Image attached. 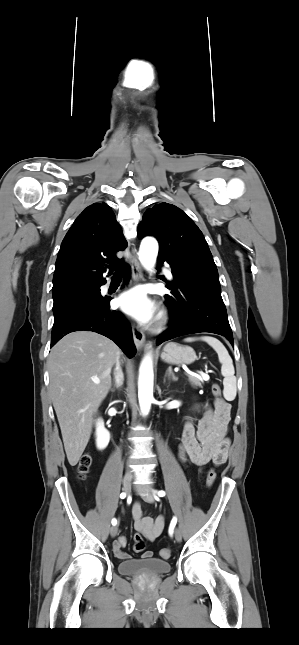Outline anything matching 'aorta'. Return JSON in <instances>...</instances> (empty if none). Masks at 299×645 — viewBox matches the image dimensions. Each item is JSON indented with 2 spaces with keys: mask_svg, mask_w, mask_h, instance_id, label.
<instances>
[{
  "mask_svg": "<svg viewBox=\"0 0 299 645\" xmlns=\"http://www.w3.org/2000/svg\"><path fill=\"white\" fill-rule=\"evenodd\" d=\"M138 255L144 268L152 271L158 255L157 241L154 238L143 239ZM153 378L152 359L147 355L141 363L138 380V398L143 415L148 414L153 401Z\"/></svg>",
  "mask_w": 299,
  "mask_h": 645,
  "instance_id": "obj_1",
  "label": "aorta"
}]
</instances>
